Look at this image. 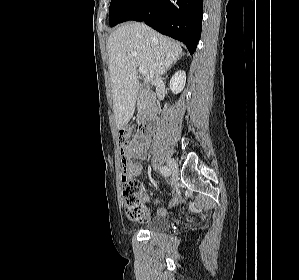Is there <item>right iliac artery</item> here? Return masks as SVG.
I'll return each mask as SVG.
<instances>
[{"mask_svg": "<svg viewBox=\"0 0 299 280\" xmlns=\"http://www.w3.org/2000/svg\"><path fill=\"white\" fill-rule=\"evenodd\" d=\"M160 172L164 175V176H169L170 175V169L166 166H163L160 168Z\"/></svg>", "mask_w": 299, "mask_h": 280, "instance_id": "1", "label": "right iliac artery"}]
</instances>
